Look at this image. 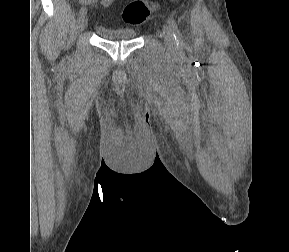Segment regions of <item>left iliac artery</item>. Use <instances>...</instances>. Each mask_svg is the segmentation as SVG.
<instances>
[{
    "instance_id": "44dca946",
    "label": "left iliac artery",
    "mask_w": 289,
    "mask_h": 252,
    "mask_svg": "<svg viewBox=\"0 0 289 252\" xmlns=\"http://www.w3.org/2000/svg\"><path fill=\"white\" fill-rule=\"evenodd\" d=\"M167 22L169 24L171 32L173 33L177 47L181 48L183 46L182 36L176 21L173 18L169 17Z\"/></svg>"
}]
</instances>
